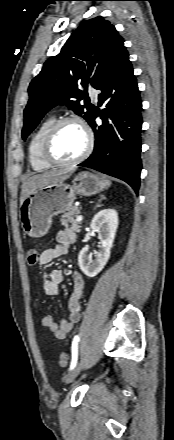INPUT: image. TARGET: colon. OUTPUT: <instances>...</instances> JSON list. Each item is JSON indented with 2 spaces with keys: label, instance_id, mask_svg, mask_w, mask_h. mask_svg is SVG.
<instances>
[{
  "label": "colon",
  "instance_id": "colon-1",
  "mask_svg": "<svg viewBox=\"0 0 174 440\" xmlns=\"http://www.w3.org/2000/svg\"><path fill=\"white\" fill-rule=\"evenodd\" d=\"M39 250L37 247H31L27 250V263L29 266H35L39 261ZM69 363V355L66 352H62L59 355V364L62 367H66Z\"/></svg>",
  "mask_w": 174,
  "mask_h": 440
}]
</instances>
